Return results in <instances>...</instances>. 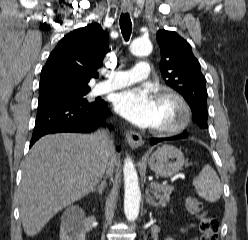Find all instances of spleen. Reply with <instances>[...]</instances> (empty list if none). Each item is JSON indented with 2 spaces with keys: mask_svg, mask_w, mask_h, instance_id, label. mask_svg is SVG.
I'll list each match as a JSON object with an SVG mask.
<instances>
[{
  "mask_svg": "<svg viewBox=\"0 0 248 240\" xmlns=\"http://www.w3.org/2000/svg\"><path fill=\"white\" fill-rule=\"evenodd\" d=\"M197 194L209 202H215L220 199L222 194V185L215 170L206 165L202 171L193 180Z\"/></svg>",
  "mask_w": 248,
  "mask_h": 240,
  "instance_id": "spleen-1",
  "label": "spleen"
}]
</instances>
